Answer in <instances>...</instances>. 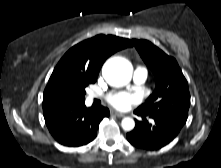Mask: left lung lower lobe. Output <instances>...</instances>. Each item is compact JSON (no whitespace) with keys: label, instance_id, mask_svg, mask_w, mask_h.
Returning a JSON list of instances; mask_svg holds the SVG:
<instances>
[{"label":"left lung lower lobe","instance_id":"1","mask_svg":"<svg viewBox=\"0 0 221 168\" xmlns=\"http://www.w3.org/2000/svg\"><path fill=\"white\" fill-rule=\"evenodd\" d=\"M135 114L141 116L143 121L136 120L135 128L127 133L128 141L135 147L155 150L169 144L179 133L184 121L168 116H149L154 120L150 124L146 117L137 110Z\"/></svg>","mask_w":221,"mask_h":168}]
</instances>
